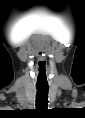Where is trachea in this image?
<instances>
[{"instance_id":"trachea-1","label":"trachea","mask_w":85,"mask_h":118,"mask_svg":"<svg viewBox=\"0 0 85 118\" xmlns=\"http://www.w3.org/2000/svg\"><path fill=\"white\" fill-rule=\"evenodd\" d=\"M48 105V89L37 88L36 107L45 108Z\"/></svg>"}]
</instances>
